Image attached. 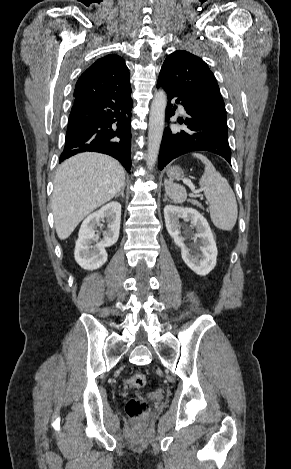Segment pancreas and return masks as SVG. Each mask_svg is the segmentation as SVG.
Wrapping results in <instances>:
<instances>
[{
	"label": "pancreas",
	"mask_w": 291,
	"mask_h": 469,
	"mask_svg": "<svg viewBox=\"0 0 291 469\" xmlns=\"http://www.w3.org/2000/svg\"><path fill=\"white\" fill-rule=\"evenodd\" d=\"M189 202L193 205H196L198 206L199 208L203 209V206L201 204H199V202L197 200H194V199H190Z\"/></svg>",
	"instance_id": "cf45deb5"
}]
</instances>
